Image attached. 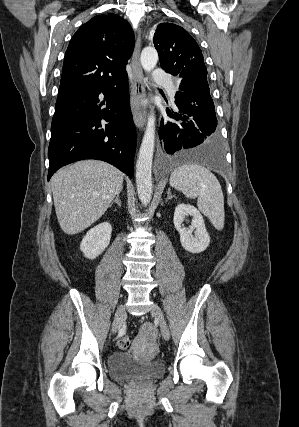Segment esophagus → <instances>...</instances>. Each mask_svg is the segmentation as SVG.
I'll return each instance as SVG.
<instances>
[{"mask_svg":"<svg viewBox=\"0 0 299 427\" xmlns=\"http://www.w3.org/2000/svg\"><path fill=\"white\" fill-rule=\"evenodd\" d=\"M140 49L141 35L139 32L131 62L133 75L131 111L136 126L142 129L146 122V110L143 105V99L145 97V81L143 77L142 67L140 64Z\"/></svg>","mask_w":299,"mask_h":427,"instance_id":"esophagus-1","label":"esophagus"}]
</instances>
